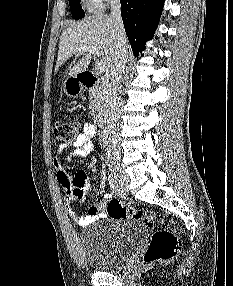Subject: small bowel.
Listing matches in <instances>:
<instances>
[{"label":"small bowel","mask_w":233,"mask_h":286,"mask_svg":"<svg viewBox=\"0 0 233 286\" xmlns=\"http://www.w3.org/2000/svg\"><path fill=\"white\" fill-rule=\"evenodd\" d=\"M97 135V129L89 124L85 123L83 126V132L77 136L75 141L69 144H60L57 147V154H62L70 146L74 148V155L78 157H88L93 151L92 139ZM53 168L55 170L56 179L60 186L61 191L65 195V205L68 209L69 216L75 221V223L81 227H86L101 218L99 214V208L101 204L108 200L110 194H104L100 201L91 202L86 209L85 215H79L72 208V204L84 198L89 190L88 179L85 173L79 172L75 176H71L63 167L60 159L55 156L53 158Z\"/></svg>","instance_id":"c3829d8e"}]
</instances>
